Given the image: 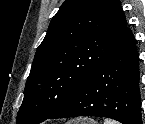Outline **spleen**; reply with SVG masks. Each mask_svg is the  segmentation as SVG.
I'll return each mask as SVG.
<instances>
[{
    "label": "spleen",
    "instance_id": "spleen-1",
    "mask_svg": "<svg viewBox=\"0 0 145 124\" xmlns=\"http://www.w3.org/2000/svg\"><path fill=\"white\" fill-rule=\"evenodd\" d=\"M104 124H118V123L116 121H112V120L106 119Z\"/></svg>",
    "mask_w": 145,
    "mask_h": 124
}]
</instances>
